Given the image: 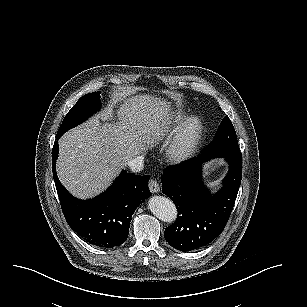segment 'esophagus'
Segmentation results:
<instances>
[{"mask_svg": "<svg viewBox=\"0 0 307 307\" xmlns=\"http://www.w3.org/2000/svg\"><path fill=\"white\" fill-rule=\"evenodd\" d=\"M148 187H149L151 193L160 192V185H159L158 181L154 178L149 181Z\"/></svg>", "mask_w": 307, "mask_h": 307, "instance_id": "obj_1", "label": "esophagus"}]
</instances>
